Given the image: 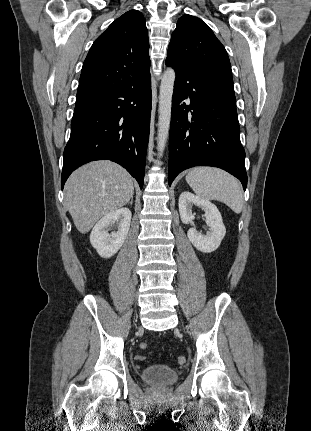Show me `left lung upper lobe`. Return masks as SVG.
<instances>
[{
	"instance_id": "left-lung-upper-lobe-1",
	"label": "left lung upper lobe",
	"mask_w": 311,
	"mask_h": 431,
	"mask_svg": "<svg viewBox=\"0 0 311 431\" xmlns=\"http://www.w3.org/2000/svg\"><path fill=\"white\" fill-rule=\"evenodd\" d=\"M166 61L203 77L233 83L224 46L201 19L192 15L178 20Z\"/></svg>"
}]
</instances>
